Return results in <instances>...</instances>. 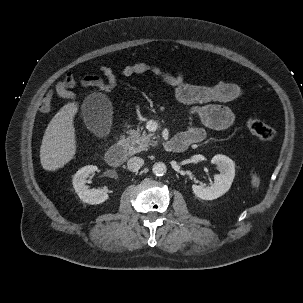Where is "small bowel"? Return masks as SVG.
<instances>
[{"instance_id":"c3829d8e","label":"small bowel","mask_w":303,"mask_h":303,"mask_svg":"<svg viewBox=\"0 0 303 303\" xmlns=\"http://www.w3.org/2000/svg\"><path fill=\"white\" fill-rule=\"evenodd\" d=\"M99 70L104 74V79L95 75L76 78L72 73H67L43 96L39 103V111L44 114L50 112L54 95L75 101L77 96L73 89L77 85L90 86L104 91L105 80H111L115 83V88L117 77L114 71L106 66H101ZM143 74L152 75L172 87L175 98L186 105L190 113L198 119V125H193L181 133L191 141V144L201 142L206 136L207 129L226 130L234 125L235 115L225 103L241 97L243 91L239 85L225 80H220L213 85H195L187 82L181 68H178L176 72H170L146 62L132 63L119 71V75L122 77Z\"/></svg>"}]
</instances>
